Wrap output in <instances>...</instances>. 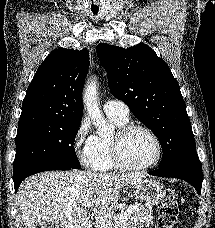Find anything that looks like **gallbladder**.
<instances>
[{
  "label": "gallbladder",
  "mask_w": 215,
  "mask_h": 228,
  "mask_svg": "<svg viewBox=\"0 0 215 228\" xmlns=\"http://www.w3.org/2000/svg\"><path fill=\"white\" fill-rule=\"evenodd\" d=\"M47 228H51V226H47Z\"/></svg>",
  "instance_id": "1"
}]
</instances>
